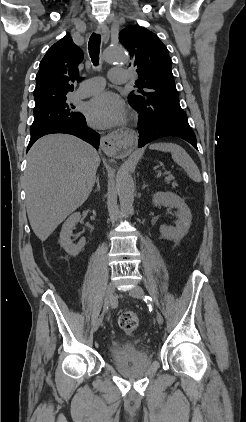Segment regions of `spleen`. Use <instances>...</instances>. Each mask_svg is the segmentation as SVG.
Wrapping results in <instances>:
<instances>
[{
  "instance_id": "spleen-1",
  "label": "spleen",
  "mask_w": 246,
  "mask_h": 422,
  "mask_svg": "<svg viewBox=\"0 0 246 422\" xmlns=\"http://www.w3.org/2000/svg\"><path fill=\"white\" fill-rule=\"evenodd\" d=\"M149 148L152 150L170 152L172 159L187 172L188 176L193 181L201 182L202 177L197 165L181 146L174 143H153Z\"/></svg>"
}]
</instances>
